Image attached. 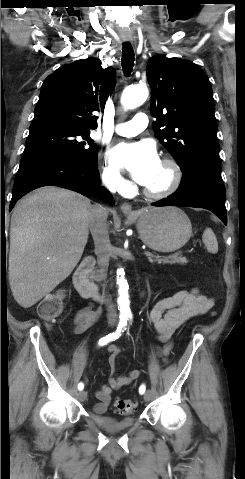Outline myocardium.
Segmentation results:
<instances>
[{
    "label": "myocardium",
    "mask_w": 245,
    "mask_h": 479,
    "mask_svg": "<svg viewBox=\"0 0 245 479\" xmlns=\"http://www.w3.org/2000/svg\"><path fill=\"white\" fill-rule=\"evenodd\" d=\"M160 162L169 170V181L167 185L160 190H151L146 187L143 189L144 195L154 200L171 196L178 190L182 182V170L177 161L170 157H164Z\"/></svg>",
    "instance_id": "myocardium-1"
}]
</instances>
